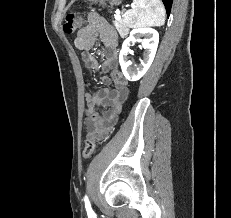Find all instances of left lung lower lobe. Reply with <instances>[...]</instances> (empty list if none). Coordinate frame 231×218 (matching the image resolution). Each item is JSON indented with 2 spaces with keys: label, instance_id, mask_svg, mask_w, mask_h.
<instances>
[{
  "label": "left lung lower lobe",
  "instance_id": "left-lung-lower-lobe-1",
  "mask_svg": "<svg viewBox=\"0 0 231 218\" xmlns=\"http://www.w3.org/2000/svg\"><path fill=\"white\" fill-rule=\"evenodd\" d=\"M162 1L165 5L167 15L169 16L173 0H162Z\"/></svg>",
  "mask_w": 231,
  "mask_h": 218
}]
</instances>
